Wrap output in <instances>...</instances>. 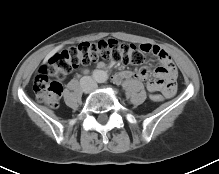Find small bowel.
<instances>
[{"instance_id":"c3829d8e","label":"small bowel","mask_w":219,"mask_h":174,"mask_svg":"<svg viewBox=\"0 0 219 174\" xmlns=\"http://www.w3.org/2000/svg\"><path fill=\"white\" fill-rule=\"evenodd\" d=\"M140 46L142 49L152 52L160 59L162 66L156 68L153 72L156 80L148 79V71L146 69H142L135 72L129 70L117 72L113 77L114 82L119 83L123 79L134 76L140 81H146L145 87L150 92L165 94L166 98L173 97L176 93L177 69L169 54L158 45L141 44ZM101 66L103 65L101 64Z\"/></svg>"}]
</instances>
